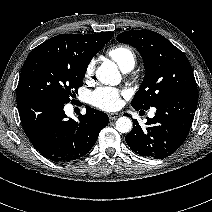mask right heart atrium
<instances>
[{
  "label": "right heart atrium",
  "instance_id": "right-heart-atrium-1",
  "mask_svg": "<svg viewBox=\"0 0 212 212\" xmlns=\"http://www.w3.org/2000/svg\"><path fill=\"white\" fill-rule=\"evenodd\" d=\"M94 70H95V61L92 60L88 63L85 69V78L89 79L93 75Z\"/></svg>",
  "mask_w": 212,
  "mask_h": 212
}]
</instances>
